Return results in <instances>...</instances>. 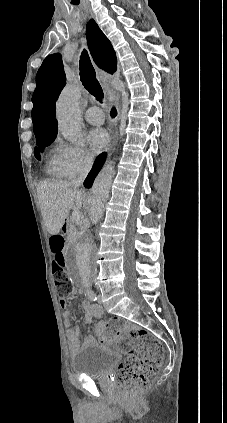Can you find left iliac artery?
Listing matches in <instances>:
<instances>
[{"instance_id":"1","label":"left iliac artery","mask_w":227,"mask_h":423,"mask_svg":"<svg viewBox=\"0 0 227 423\" xmlns=\"http://www.w3.org/2000/svg\"><path fill=\"white\" fill-rule=\"evenodd\" d=\"M84 288H85V295L92 301L97 300L96 294L94 293V291L91 288V283L87 282L84 284Z\"/></svg>"}]
</instances>
